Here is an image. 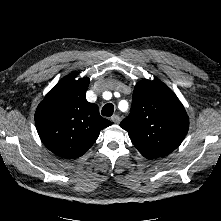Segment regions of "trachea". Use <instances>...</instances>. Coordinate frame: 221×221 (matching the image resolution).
Instances as JSON below:
<instances>
[{
  "instance_id": "obj_1",
  "label": "trachea",
  "mask_w": 221,
  "mask_h": 221,
  "mask_svg": "<svg viewBox=\"0 0 221 221\" xmlns=\"http://www.w3.org/2000/svg\"><path fill=\"white\" fill-rule=\"evenodd\" d=\"M113 112H114V106L111 103L104 105L101 111L103 116H108V117L111 116Z\"/></svg>"
}]
</instances>
